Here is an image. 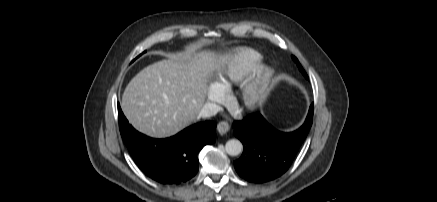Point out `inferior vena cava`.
Wrapping results in <instances>:
<instances>
[{
    "instance_id": "obj_1",
    "label": "inferior vena cava",
    "mask_w": 437,
    "mask_h": 202,
    "mask_svg": "<svg viewBox=\"0 0 437 202\" xmlns=\"http://www.w3.org/2000/svg\"><path fill=\"white\" fill-rule=\"evenodd\" d=\"M221 107L215 103L208 102L203 105L199 112V116L203 118L216 115L220 111Z\"/></svg>"
}]
</instances>
